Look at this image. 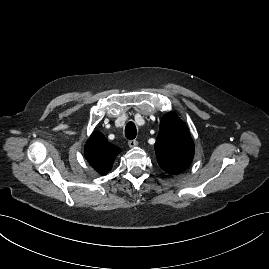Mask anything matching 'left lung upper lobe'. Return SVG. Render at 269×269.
Returning <instances> with one entry per match:
<instances>
[{"mask_svg": "<svg viewBox=\"0 0 269 269\" xmlns=\"http://www.w3.org/2000/svg\"><path fill=\"white\" fill-rule=\"evenodd\" d=\"M159 166L169 174L185 171L194 157V144L186 124L174 113L166 114L155 142Z\"/></svg>", "mask_w": 269, "mask_h": 269, "instance_id": "5c2ea615", "label": "left lung upper lobe"}]
</instances>
